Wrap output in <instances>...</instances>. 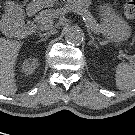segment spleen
<instances>
[{"label": "spleen", "instance_id": "spleen-1", "mask_svg": "<svg viewBox=\"0 0 135 135\" xmlns=\"http://www.w3.org/2000/svg\"><path fill=\"white\" fill-rule=\"evenodd\" d=\"M116 86L119 90L135 87V63H121L116 69Z\"/></svg>", "mask_w": 135, "mask_h": 135}]
</instances>
